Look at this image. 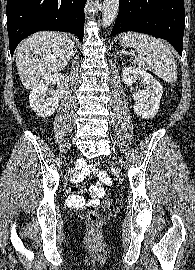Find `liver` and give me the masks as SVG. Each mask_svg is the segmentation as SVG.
Listing matches in <instances>:
<instances>
[{"mask_svg": "<svg viewBox=\"0 0 195 270\" xmlns=\"http://www.w3.org/2000/svg\"><path fill=\"white\" fill-rule=\"evenodd\" d=\"M74 42L58 32H38L22 41L16 53V67L23 86L38 84L64 69L74 52Z\"/></svg>", "mask_w": 195, "mask_h": 270, "instance_id": "1", "label": "liver"}]
</instances>
